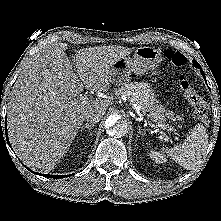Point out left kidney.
<instances>
[{
	"label": "left kidney",
	"instance_id": "5707ae66",
	"mask_svg": "<svg viewBox=\"0 0 221 221\" xmlns=\"http://www.w3.org/2000/svg\"><path fill=\"white\" fill-rule=\"evenodd\" d=\"M149 157L155 161L156 163H165L167 161V158L160 152L155 150H150L148 152Z\"/></svg>",
	"mask_w": 221,
	"mask_h": 221
}]
</instances>
